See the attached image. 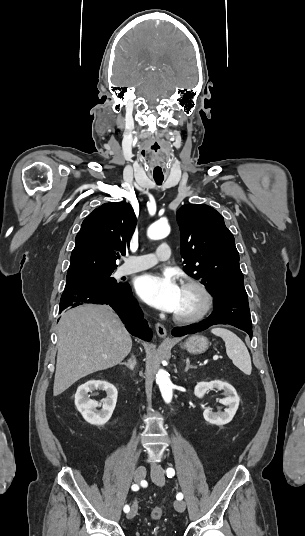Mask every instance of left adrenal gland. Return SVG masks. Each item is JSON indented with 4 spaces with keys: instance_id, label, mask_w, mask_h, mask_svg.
I'll return each mask as SVG.
<instances>
[{
    "instance_id": "a2214340",
    "label": "left adrenal gland",
    "mask_w": 305,
    "mask_h": 536,
    "mask_svg": "<svg viewBox=\"0 0 305 536\" xmlns=\"http://www.w3.org/2000/svg\"><path fill=\"white\" fill-rule=\"evenodd\" d=\"M189 368H194V366H190V360H189V358H186L185 372H188Z\"/></svg>"
}]
</instances>
